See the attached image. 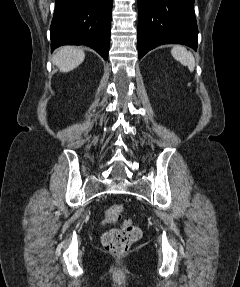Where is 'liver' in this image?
I'll use <instances>...</instances> for the list:
<instances>
[{
  "label": "liver",
  "mask_w": 240,
  "mask_h": 287,
  "mask_svg": "<svg viewBox=\"0 0 240 287\" xmlns=\"http://www.w3.org/2000/svg\"><path fill=\"white\" fill-rule=\"evenodd\" d=\"M85 58L82 49L72 46L61 47L53 56V63L58 66L61 72H69L77 68Z\"/></svg>",
  "instance_id": "1"
}]
</instances>
